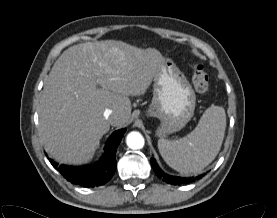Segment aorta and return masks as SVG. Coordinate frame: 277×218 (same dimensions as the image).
I'll list each match as a JSON object with an SVG mask.
<instances>
[{"instance_id": "1", "label": "aorta", "mask_w": 277, "mask_h": 218, "mask_svg": "<svg viewBox=\"0 0 277 218\" xmlns=\"http://www.w3.org/2000/svg\"><path fill=\"white\" fill-rule=\"evenodd\" d=\"M126 143L133 150L141 149L144 146V138L139 132H130L127 135Z\"/></svg>"}]
</instances>
